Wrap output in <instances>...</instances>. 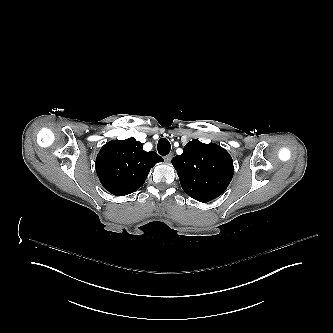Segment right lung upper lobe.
I'll list each match as a JSON object with an SVG mask.
<instances>
[{
    "mask_svg": "<svg viewBox=\"0 0 333 333\" xmlns=\"http://www.w3.org/2000/svg\"><path fill=\"white\" fill-rule=\"evenodd\" d=\"M163 158L154 151L146 152L133 137L110 141L99 151L96 172L104 188L116 196L138 190L150 169Z\"/></svg>",
    "mask_w": 333,
    "mask_h": 333,
    "instance_id": "right-lung-upper-lobe-1",
    "label": "right lung upper lobe"
}]
</instances>
